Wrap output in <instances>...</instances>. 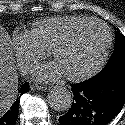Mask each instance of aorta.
Here are the masks:
<instances>
[{
  "label": "aorta",
  "mask_w": 125,
  "mask_h": 125,
  "mask_svg": "<svg viewBox=\"0 0 125 125\" xmlns=\"http://www.w3.org/2000/svg\"><path fill=\"white\" fill-rule=\"evenodd\" d=\"M48 103L52 109L58 112L68 110L73 102V95L65 87H54L47 96Z\"/></svg>",
  "instance_id": "aorta-1"
}]
</instances>
